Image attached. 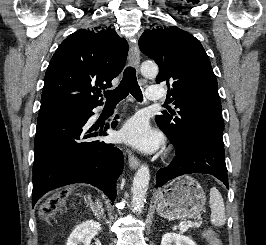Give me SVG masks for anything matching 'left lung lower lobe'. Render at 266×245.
I'll return each instance as SVG.
<instances>
[{
    "mask_svg": "<svg viewBox=\"0 0 266 245\" xmlns=\"http://www.w3.org/2000/svg\"><path fill=\"white\" fill-rule=\"evenodd\" d=\"M174 146L176 157L168 167L157 172L155 187L184 174L203 173L215 176L229 188L222 134L191 130L182 144Z\"/></svg>",
    "mask_w": 266,
    "mask_h": 245,
    "instance_id": "0a47b994",
    "label": "left lung lower lobe"
}]
</instances>
